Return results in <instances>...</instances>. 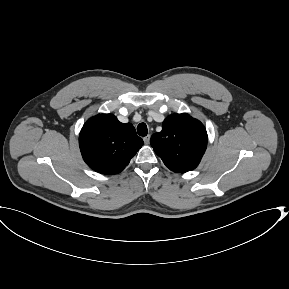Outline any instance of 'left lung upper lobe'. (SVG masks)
Here are the masks:
<instances>
[{
	"mask_svg": "<svg viewBox=\"0 0 289 289\" xmlns=\"http://www.w3.org/2000/svg\"><path fill=\"white\" fill-rule=\"evenodd\" d=\"M207 141L204 125L186 113L169 115L163 122L162 131L150 139L151 146L164 164L179 173L198 166Z\"/></svg>",
	"mask_w": 289,
	"mask_h": 289,
	"instance_id": "obj_1",
	"label": "left lung upper lobe"
}]
</instances>
